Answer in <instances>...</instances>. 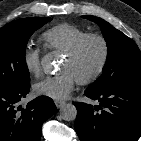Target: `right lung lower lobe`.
<instances>
[{
	"mask_svg": "<svg viewBox=\"0 0 141 141\" xmlns=\"http://www.w3.org/2000/svg\"><path fill=\"white\" fill-rule=\"evenodd\" d=\"M30 85L0 90V141H40L42 124L56 112L53 100L39 96L25 108L17 107Z\"/></svg>",
	"mask_w": 141,
	"mask_h": 141,
	"instance_id": "right-lung-lower-lobe-1",
	"label": "right lung lower lobe"
}]
</instances>
